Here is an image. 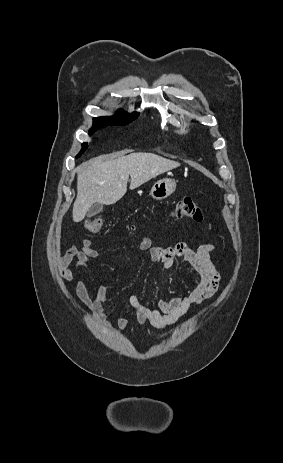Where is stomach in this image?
Returning <instances> with one entry per match:
<instances>
[{
  "label": "stomach",
  "instance_id": "0dacf381",
  "mask_svg": "<svg viewBox=\"0 0 283 463\" xmlns=\"http://www.w3.org/2000/svg\"><path fill=\"white\" fill-rule=\"evenodd\" d=\"M176 189V182L173 179H161L151 188L150 194L155 200H163L169 197Z\"/></svg>",
  "mask_w": 283,
  "mask_h": 463
}]
</instances>
